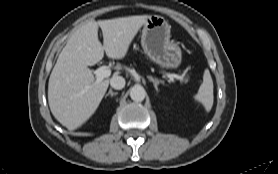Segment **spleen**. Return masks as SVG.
<instances>
[{"mask_svg": "<svg viewBox=\"0 0 278 174\" xmlns=\"http://www.w3.org/2000/svg\"><path fill=\"white\" fill-rule=\"evenodd\" d=\"M213 81L208 69H205L203 74V82L198 90V93L194 96V99L201 102L206 111H210L213 106Z\"/></svg>", "mask_w": 278, "mask_h": 174, "instance_id": "3e777b00", "label": "spleen"}]
</instances>
